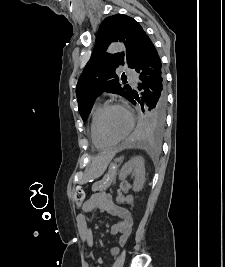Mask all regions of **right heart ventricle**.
I'll return each instance as SVG.
<instances>
[{"mask_svg": "<svg viewBox=\"0 0 225 267\" xmlns=\"http://www.w3.org/2000/svg\"><path fill=\"white\" fill-rule=\"evenodd\" d=\"M103 107H104L103 104L96 103L91 110L90 119H89L88 131H89L90 140L93 146L97 149H105V148H109L113 146L101 140L96 130V121Z\"/></svg>", "mask_w": 225, "mask_h": 267, "instance_id": "right-heart-ventricle-1", "label": "right heart ventricle"}]
</instances>
